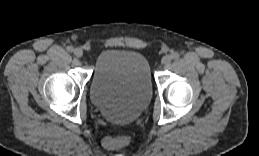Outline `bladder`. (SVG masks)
I'll use <instances>...</instances> for the list:
<instances>
[{"label": "bladder", "instance_id": "bladder-1", "mask_svg": "<svg viewBox=\"0 0 259 156\" xmlns=\"http://www.w3.org/2000/svg\"><path fill=\"white\" fill-rule=\"evenodd\" d=\"M90 95L106 119H136L152 97L151 71L145 56L119 49L103 51L95 63Z\"/></svg>", "mask_w": 259, "mask_h": 156}]
</instances>
